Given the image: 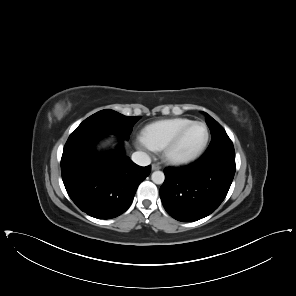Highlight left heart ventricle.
I'll list each match as a JSON object with an SVG mask.
<instances>
[{"label":"left heart ventricle","mask_w":296,"mask_h":296,"mask_svg":"<svg viewBox=\"0 0 296 296\" xmlns=\"http://www.w3.org/2000/svg\"><path fill=\"white\" fill-rule=\"evenodd\" d=\"M205 130L200 125L191 126L181 136L179 142L172 150V154L176 156H186L194 153L203 143Z\"/></svg>","instance_id":"b2bd125f"}]
</instances>
